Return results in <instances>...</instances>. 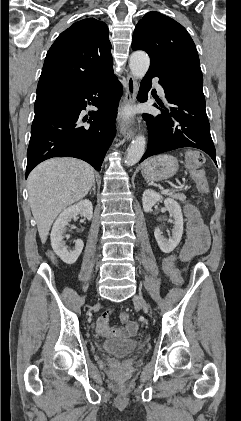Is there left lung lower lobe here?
Returning a JSON list of instances; mask_svg holds the SVG:
<instances>
[{"label":"left lung lower lobe","mask_w":241,"mask_h":421,"mask_svg":"<svg viewBox=\"0 0 241 421\" xmlns=\"http://www.w3.org/2000/svg\"><path fill=\"white\" fill-rule=\"evenodd\" d=\"M158 77L165 90L168 105L155 107L162 114H144L149 129L148 147L140 162L146 158L181 147H194L206 152L216 162V151L210 135V124L205 110L203 82L194 78L177 77L150 66L141 82L144 100L151 89L152 78Z\"/></svg>","instance_id":"0a47b994"}]
</instances>
